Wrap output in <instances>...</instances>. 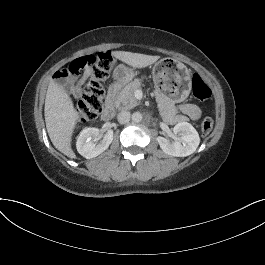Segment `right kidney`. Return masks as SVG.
<instances>
[{
    "label": "right kidney",
    "instance_id": "ca27d5eb",
    "mask_svg": "<svg viewBox=\"0 0 265 265\" xmlns=\"http://www.w3.org/2000/svg\"><path fill=\"white\" fill-rule=\"evenodd\" d=\"M101 138L98 128H86L77 140V149L86 159H92L101 155L112 144L114 139V130L108 129L101 144L96 142Z\"/></svg>",
    "mask_w": 265,
    "mask_h": 265
}]
</instances>
